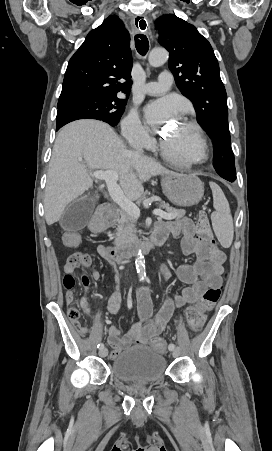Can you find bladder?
<instances>
[{"label": "bladder", "instance_id": "31cf9c89", "mask_svg": "<svg viewBox=\"0 0 272 451\" xmlns=\"http://www.w3.org/2000/svg\"><path fill=\"white\" fill-rule=\"evenodd\" d=\"M166 371V357L144 346L122 352L111 362L112 376L120 382L149 384L159 382Z\"/></svg>", "mask_w": 272, "mask_h": 451}]
</instances>
